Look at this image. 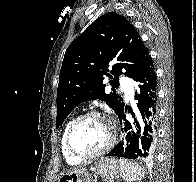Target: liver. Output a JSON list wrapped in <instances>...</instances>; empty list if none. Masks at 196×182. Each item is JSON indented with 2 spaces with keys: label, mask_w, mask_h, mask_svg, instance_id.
Masks as SVG:
<instances>
[{
  "label": "liver",
  "mask_w": 196,
  "mask_h": 182,
  "mask_svg": "<svg viewBox=\"0 0 196 182\" xmlns=\"http://www.w3.org/2000/svg\"><path fill=\"white\" fill-rule=\"evenodd\" d=\"M82 170V168H75V169H73V171H81Z\"/></svg>",
  "instance_id": "obj_1"
}]
</instances>
